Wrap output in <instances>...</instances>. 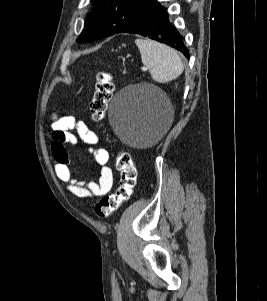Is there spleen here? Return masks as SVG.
I'll return each instance as SVG.
<instances>
[{
  "label": "spleen",
  "instance_id": "1",
  "mask_svg": "<svg viewBox=\"0 0 267 301\" xmlns=\"http://www.w3.org/2000/svg\"><path fill=\"white\" fill-rule=\"evenodd\" d=\"M142 63L149 68L151 77L158 83L170 82L179 77L184 64L175 50L152 40L136 39Z\"/></svg>",
  "mask_w": 267,
  "mask_h": 301
}]
</instances>
